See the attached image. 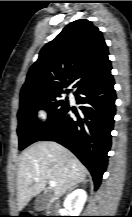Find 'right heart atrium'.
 Wrapping results in <instances>:
<instances>
[{"instance_id":"obj_1","label":"right heart atrium","mask_w":132,"mask_h":217,"mask_svg":"<svg viewBox=\"0 0 132 217\" xmlns=\"http://www.w3.org/2000/svg\"><path fill=\"white\" fill-rule=\"evenodd\" d=\"M39 116L42 122L46 123L49 119V111L46 108L42 107L39 109Z\"/></svg>"}]
</instances>
